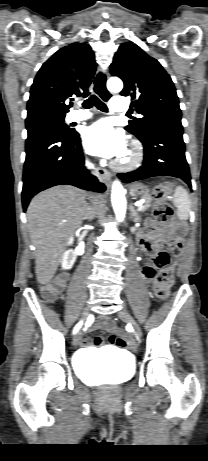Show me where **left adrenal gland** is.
<instances>
[{
    "instance_id": "left-adrenal-gland-1",
    "label": "left adrenal gland",
    "mask_w": 208,
    "mask_h": 461,
    "mask_svg": "<svg viewBox=\"0 0 208 461\" xmlns=\"http://www.w3.org/2000/svg\"><path fill=\"white\" fill-rule=\"evenodd\" d=\"M130 212H131V218L133 219L134 222H137L140 220V217L138 216L137 211L134 209V207L131 205L130 206Z\"/></svg>"
}]
</instances>
